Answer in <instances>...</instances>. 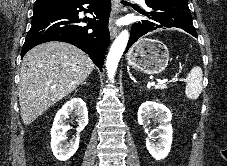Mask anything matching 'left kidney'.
Listing matches in <instances>:
<instances>
[{
    "instance_id": "left-kidney-1",
    "label": "left kidney",
    "mask_w": 227,
    "mask_h": 166,
    "mask_svg": "<svg viewBox=\"0 0 227 166\" xmlns=\"http://www.w3.org/2000/svg\"><path fill=\"white\" fill-rule=\"evenodd\" d=\"M153 116L158 117L160 121L157 137H154V134L149 132L147 128L150 123V118ZM171 119L172 114L170 110L161 103L146 101L139 107L138 123L145 128L144 132L147 134V150L156 160L164 159L170 152L173 134V128L170 124ZM157 138L158 140L156 142Z\"/></svg>"
}]
</instances>
